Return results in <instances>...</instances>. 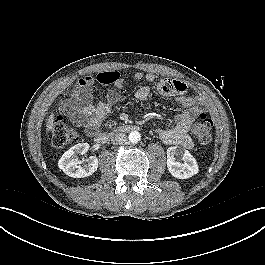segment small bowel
<instances>
[{
	"label": "small bowel",
	"instance_id": "c3829d8e",
	"mask_svg": "<svg viewBox=\"0 0 265 265\" xmlns=\"http://www.w3.org/2000/svg\"><path fill=\"white\" fill-rule=\"evenodd\" d=\"M115 74L111 81L105 79L99 80L92 76H84L77 81L73 93L69 98L63 101L61 109L72 116V120L77 125L84 128L88 135H93L104 123L110 109L118 102L119 96L115 90H110L105 101L94 103V83L101 84L113 83L115 88L122 89L125 86V80ZM134 80H146L154 82L156 77L153 73L135 72ZM157 91L166 97L175 98L184 111L177 115L175 124L168 128H158L157 134L160 139L170 145H180L186 149H192L194 143L190 138L188 131L191 124L204 112L203 105L197 97L187 93V87L178 80L165 79L157 84ZM150 95L148 86L140 87L135 96L139 101H145Z\"/></svg>",
	"mask_w": 265,
	"mask_h": 265
}]
</instances>
